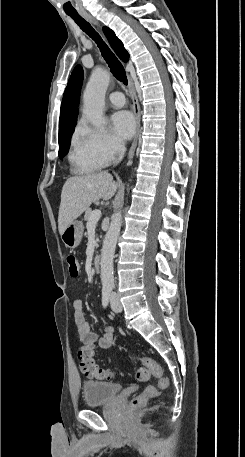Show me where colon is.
<instances>
[{"mask_svg": "<svg viewBox=\"0 0 245 457\" xmlns=\"http://www.w3.org/2000/svg\"><path fill=\"white\" fill-rule=\"evenodd\" d=\"M69 275L73 278L79 276V264L73 254L66 256ZM78 359L80 368L83 373L91 378L100 380H110L114 376V372L108 369H103L99 366L95 359L94 348L91 345H84L79 349ZM142 366L136 372V379L139 381H147L151 375L157 379V386L164 390L169 386V379L164 374L162 367L152 358L143 357L138 359ZM157 395V389L154 386H146L143 391L134 397L130 403L131 408L136 409L144 406L150 399Z\"/></svg>", "mask_w": 245, "mask_h": 457, "instance_id": "obj_1", "label": "colon"}]
</instances>
